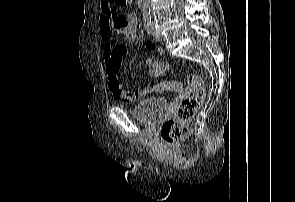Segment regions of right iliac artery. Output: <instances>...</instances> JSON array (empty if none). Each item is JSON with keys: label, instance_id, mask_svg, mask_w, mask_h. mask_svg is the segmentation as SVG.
I'll return each mask as SVG.
<instances>
[{"label": "right iliac artery", "instance_id": "obj_1", "mask_svg": "<svg viewBox=\"0 0 295 202\" xmlns=\"http://www.w3.org/2000/svg\"><path fill=\"white\" fill-rule=\"evenodd\" d=\"M144 26H145V29L147 30V33L149 35H152L153 32H152L151 22H145Z\"/></svg>", "mask_w": 295, "mask_h": 202}]
</instances>
